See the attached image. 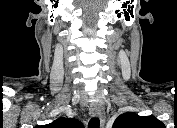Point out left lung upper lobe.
<instances>
[{
	"mask_svg": "<svg viewBox=\"0 0 177 128\" xmlns=\"http://www.w3.org/2000/svg\"><path fill=\"white\" fill-rule=\"evenodd\" d=\"M163 123L154 116H139L134 112H126L118 116L113 128H161Z\"/></svg>",
	"mask_w": 177,
	"mask_h": 128,
	"instance_id": "5c2ea615",
	"label": "left lung upper lobe"
}]
</instances>
